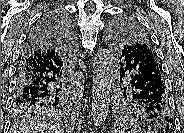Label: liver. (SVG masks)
Masks as SVG:
<instances>
[{"label":"liver","mask_w":184,"mask_h":133,"mask_svg":"<svg viewBox=\"0 0 184 133\" xmlns=\"http://www.w3.org/2000/svg\"><path fill=\"white\" fill-rule=\"evenodd\" d=\"M13 133H63V129L48 118L34 117L22 124H20L12 131Z\"/></svg>","instance_id":"liver-1"}]
</instances>
